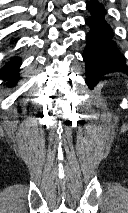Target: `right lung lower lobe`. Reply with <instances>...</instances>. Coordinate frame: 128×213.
Segmentation results:
<instances>
[{
  "mask_svg": "<svg viewBox=\"0 0 128 213\" xmlns=\"http://www.w3.org/2000/svg\"><path fill=\"white\" fill-rule=\"evenodd\" d=\"M21 65V60L19 58H15L9 63H7L1 70H0V78L9 80V87L14 86L16 84L17 79L19 78L18 68Z\"/></svg>",
  "mask_w": 128,
  "mask_h": 213,
  "instance_id": "obj_1",
  "label": "right lung lower lobe"
}]
</instances>
